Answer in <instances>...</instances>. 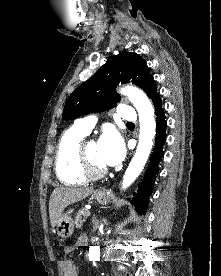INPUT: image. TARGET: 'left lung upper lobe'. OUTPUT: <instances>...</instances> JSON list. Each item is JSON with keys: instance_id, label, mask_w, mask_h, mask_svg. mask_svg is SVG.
Returning <instances> with one entry per match:
<instances>
[{"instance_id": "left-lung-upper-lobe-1", "label": "left lung upper lobe", "mask_w": 221, "mask_h": 276, "mask_svg": "<svg viewBox=\"0 0 221 276\" xmlns=\"http://www.w3.org/2000/svg\"><path fill=\"white\" fill-rule=\"evenodd\" d=\"M129 82L142 88L150 99L158 94L156 83L141 56L130 52L111 56L94 76L70 95L62 118L74 119L114 107L120 100L115 88L119 83Z\"/></svg>"}]
</instances>
